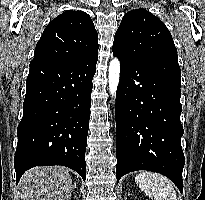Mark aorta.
<instances>
[{"mask_svg":"<svg viewBox=\"0 0 205 200\" xmlns=\"http://www.w3.org/2000/svg\"><path fill=\"white\" fill-rule=\"evenodd\" d=\"M120 80V62L117 58H113L109 63L108 70V81H109V92L112 97H115L117 87Z\"/></svg>","mask_w":205,"mask_h":200,"instance_id":"obj_1","label":"aorta"}]
</instances>
